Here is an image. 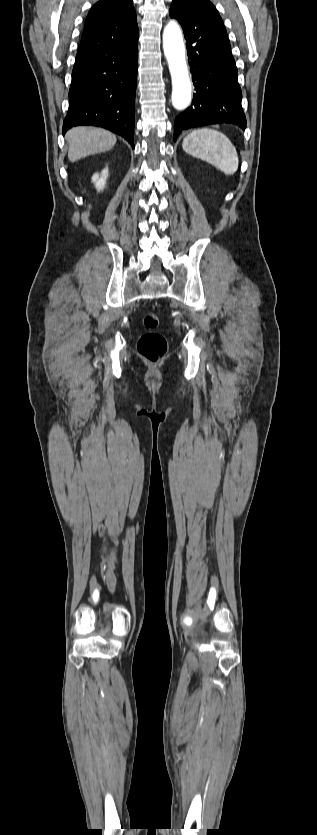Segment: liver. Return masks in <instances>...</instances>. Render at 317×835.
I'll return each mask as SVG.
<instances>
[{
	"label": "liver",
	"instance_id": "6515ba94",
	"mask_svg": "<svg viewBox=\"0 0 317 835\" xmlns=\"http://www.w3.org/2000/svg\"><path fill=\"white\" fill-rule=\"evenodd\" d=\"M66 141L69 144L68 159L76 162L80 158L106 152L116 144V136L101 128L75 127L66 133Z\"/></svg>",
	"mask_w": 317,
	"mask_h": 835
}]
</instances>
